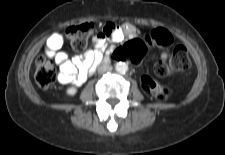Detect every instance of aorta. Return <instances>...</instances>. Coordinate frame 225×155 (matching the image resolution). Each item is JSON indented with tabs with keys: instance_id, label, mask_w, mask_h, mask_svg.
I'll return each instance as SVG.
<instances>
[{
	"instance_id": "1",
	"label": "aorta",
	"mask_w": 225,
	"mask_h": 155,
	"mask_svg": "<svg viewBox=\"0 0 225 155\" xmlns=\"http://www.w3.org/2000/svg\"><path fill=\"white\" fill-rule=\"evenodd\" d=\"M115 70L118 72V73H121V74H124L127 72L128 70V65L125 63V62H117L115 64Z\"/></svg>"
}]
</instances>
